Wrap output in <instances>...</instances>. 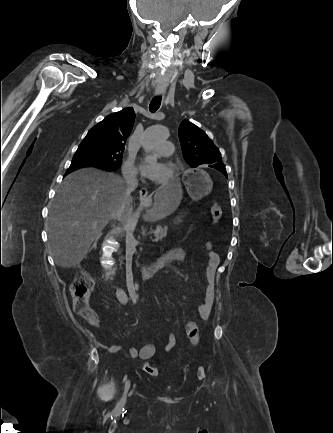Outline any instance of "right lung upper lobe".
I'll return each instance as SVG.
<instances>
[{"label": "right lung upper lobe", "instance_id": "1", "mask_svg": "<svg viewBox=\"0 0 333 433\" xmlns=\"http://www.w3.org/2000/svg\"><path fill=\"white\" fill-rule=\"evenodd\" d=\"M134 119L135 112L131 107L112 113L91 128L83 141L93 142L102 148L124 149Z\"/></svg>", "mask_w": 333, "mask_h": 433}]
</instances>
